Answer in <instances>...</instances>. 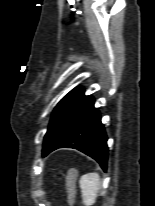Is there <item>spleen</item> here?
<instances>
[{
  "instance_id": "3e777b00",
  "label": "spleen",
  "mask_w": 155,
  "mask_h": 206,
  "mask_svg": "<svg viewBox=\"0 0 155 206\" xmlns=\"http://www.w3.org/2000/svg\"><path fill=\"white\" fill-rule=\"evenodd\" d=\"M82 199L85 206H91L96 202L100 188V176L98 173H87L79 180Z\"/></svg>"
}]
</instances>
